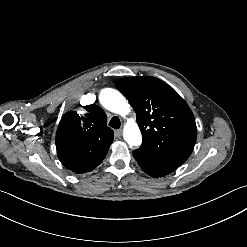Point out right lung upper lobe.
Wrapping results in <instances>:
<instances>
[{
    "label": "right lung upper lobe",
    "mask_w": 247,
    "mask_h": 247,
    "mask_svg": "<svg viewBox=\"0 0 247 247\" xmlns=\"http://www.w3.org/2000/svg\"><path fill=\"white\" fill-rule=\"evenodd\" d=\"M84 116L76 111L63 115L57 132V156L69 170L79 172L97 167L113 142L114 132L107 116L97 105L84 106Z\"/></svg>",
    "instance_id": "right-lung-upper-lobe-1"
}]
</instances>
